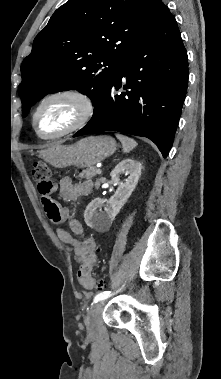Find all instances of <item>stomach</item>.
I'll return each instance as SVG.
<instances>
[{
  "mask_svg": "<svg viewBox=\"0 0 221 379\" xmlns=\"http://www.w3.org/2000/svg\"><path fill=\"white\" fill-rule=\"evenodd\" d=\"M117 148L110 136H90L72 145L55 144L40 152V156L55 168L92 167L112 155Z\"/></svg>",
  "mask_w": 221,
  "mask_h": 379,
  "instance_id": "stomach-1",
  "label": "stomach"
}]
</instances>
